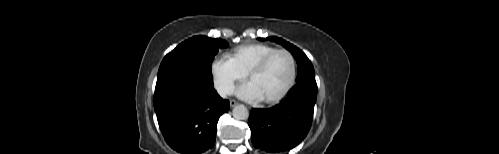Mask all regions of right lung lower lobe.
Listing matches in <instances>:
<instances>
[{"mask_svg": "<svg viewBox=\"0 0 499 154\" xmlns=\"http://www.w3.org/2000/svg\"><path fill=\"white\" fill-rule=\"evenodd\" d=\"M154 109L167 144L181 154H199L215 143L219 117L230 108L213 81L185 76L156 85Z\"/></svg>", "mask_w": 499, "mask_h": 154, "instance_id": "98d812e1", "label": "right lung lower lobe"}]
</instances>
